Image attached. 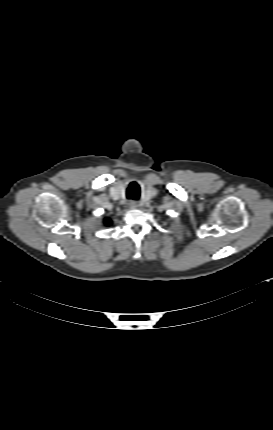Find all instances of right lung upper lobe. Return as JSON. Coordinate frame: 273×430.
I'll return each mask as SVG.
<instances>
[{
  "label": "right lung upper lobe",
  "mask_w": 273,
  "mask_h": 430,
  "mask_svg": "<svg viewBox=\"0 0 273 430\" xmlns=\"http://www.w3.org/2000/svg\"><path fill=\"white\" fill-rule=\"evenodd\" d=\"M104 223H105L106 226H110L111 220L107 218V219L104 220Z\"/></svg>",
  "instance_id": "1"
}]
</instances>
